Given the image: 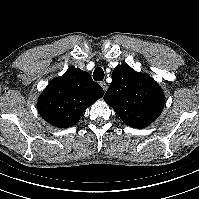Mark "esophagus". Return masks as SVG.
<instances>
[{
    "instance_id": "obj_1",
    "label": "esophagus",
    "mask_w": 199,
    "mask_h": 199,
    "mask_svg": "<svg viewBox=\"0 0 199 199\" xmlns=\"http://www.w3.org/2000/svg\"><path fill=\"white\" fill-rule=\"evenodd\" d=\"M100 85H101V87L103 88L104 91L107 90L108 85H107V83L105 81L100 82Z\"/></svg>"
}]
</instances>
